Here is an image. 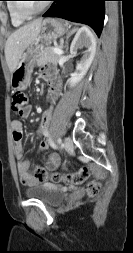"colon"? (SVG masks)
I'll list each match as a JSON object with an SVG mask.
<instances>
[{
  "instance_id": "1",
  "label": "colon",
  "mask_w": 133,
  "mask_h": 253,
  "mask_svg": "<svg viewBox=\"0 0 133 253\" xmlns=\"http://www.w3.org/2000/svg\"><path fill=\"white\" fill-rule=\"evenodd\" d=\"M27 104L28 98L24 92L18 91L13 94L11 108L15 113L22 114L27 107ZM35 174L41 181L49 179L55 183L65 182L74 185H80L89 178V170L86 167H82L78 171L66 174L58 171L48 174L43 167H38ZM100 188L101 184L98 181H92L87 185V193L90 196H96L99 193Z\"/></svg>"
}]
</instances>
